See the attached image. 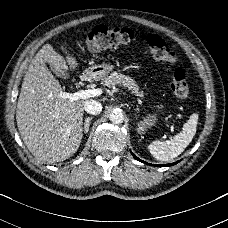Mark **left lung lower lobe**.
Wrapping results in <instances>:
<instances>
[{"label": "left lung lower lobe", "instance_id": "left-lung-lower-lobe-1", "mask_svg": "<svg viewBox=\"0 0 228 228\" xmlns=\"http://www.w3.org/2000/svg\"><path fill=\"white\" fill-rule=\"evenodd\" d=\"M131 154H132V156H133L135 159L139 160L140 162H143V163H145V164H148L147 162L140 160V159H139L138 157H136L132 152H131ZM178 162H179V161H177V162H175V163H171V164L153 165V166H159V167L172 166V165H175V164L178 163ZM148 165H152V164H148Z\"/></svg>", "mask_w": 228, "mask_h": 228}]
</instances>
